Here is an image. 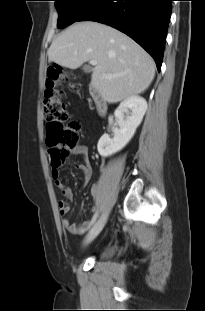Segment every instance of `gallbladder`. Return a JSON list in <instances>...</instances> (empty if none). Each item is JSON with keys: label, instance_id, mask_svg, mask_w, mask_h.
Wrapping results in <instances>:
<instances>
[{"label": "gallbladder", "instance_id": "obj_1", "mask_svg": "<svg viewBox=\"0 0 205 311\" xmlns=\"http://www.w3.org/2000/svg\"><path fill=\"white\" fill-rule=\"evenodd\" d=\"M83 71L88 73L91 71V68L89 66H83Z\"/></svg>", "mask_w": 205, "mask_h": 311}]
</instances>
